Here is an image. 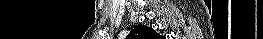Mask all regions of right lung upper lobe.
Masks as SVG:
<instances>
[{
  "mask_svg": "<svg viewBox=\"0 0 263 39\" xmlns=\"http://www.w3.org/2000/svg\"><path fill=\"white\" fill-rule=\"evenodd\" d=\"M129 37L132 39H156L159 37V34L147 26L136 25L134 29L131 30Z\"/></svg>",
  "mask_w": 263,
  "mask_h": 39,
  "instance_id": "1",
  "label": "right lung upper lobe"
}]
</instances>
